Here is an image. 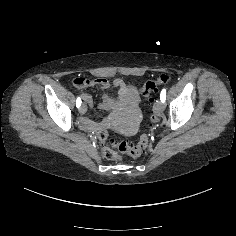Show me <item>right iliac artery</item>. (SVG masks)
<instances>
[{"mask_svg":"<svg viewBox=\"0 0 236 236\" xmlns=\"http://www.w3.org/2000/svg\"><path fill=\"white\" fill-rule=\"evenodd\" d=\"M81 103H82L81 99H80V97H78L76 100V107L79 108L81 106Z\"/></svg>","mask_w":236,"mask_h":236,"instance_id":"1","label":"right iliac artery"}]
</instances>
